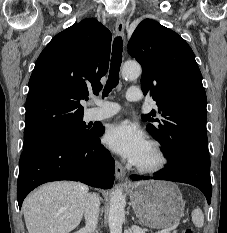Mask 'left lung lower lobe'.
<instances>
[{"label":"left lung lower lobe","mask_w":227,"mask_h":233,"mask_svg":"<svg viewBox=\"0 0 227 233\" xmlns=\"http://www.w3.org/2000/svg\"><path fill=\"white\" fill-rule=\"evenodd\" d=\"M210 165L191 156H183L180 160L171 165L153 177L155 180H167L173 182H182L193 185L200 189L205 195L208 204L211 202L212 186L210 178ZM131 179H149L132 175Z\"/></svg>","instance_id":"obj_1"}]
</instances>
